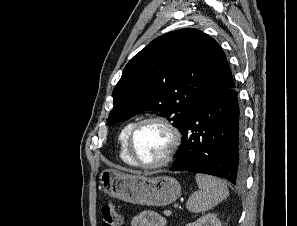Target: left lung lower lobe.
<instances>
[{"label":"left lung lower lobe","instance_id":"1","mask_svg":"<svg viewBox=\"0 0 297 226\" xmlns=\"http://www.w3.org/2000/svg\"><path fill=\"white\" fill-rule=\"evenodd\" d=\"M233 88L210 90L201 97L180 129L182 143L171 171L210 174L234 185L244 181L242 112Z\"/></svg>","mask_w":297,"mask_h":226}]
</instances>
